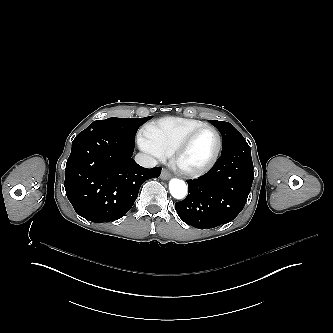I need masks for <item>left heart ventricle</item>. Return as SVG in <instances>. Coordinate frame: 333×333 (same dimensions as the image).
I'll return each instance as SVG.
<instances>
[{
    "label": "left heart ventricle",
    "instance_id": "left-heart-ventricle-1",
    "mask_svg": "<svg viewBox=\"0 0 333 333\" xmlns=\"http://www.w3.org/2000/svg\"><path fill=\"white\" fill-rule=\"evenodd\" d=\"M217 148V139L210 129H204L194 136L178 160V165L194 169L206 165Z\"/></svg>",
    "mask_w": 333,
    "mask_h": 333
}]
</instances>
